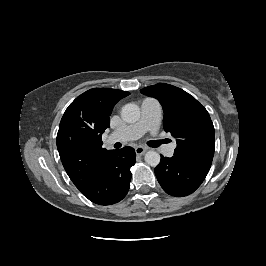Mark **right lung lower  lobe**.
I'll return each instance as SVG.
<instances>
[{"label":"right lung lower lobe","mask_w":266,"mask_h":266,"mask_svg":"<svg viewBox=\"0 0 266 266\" xmlns=\"http://www.w3.org/2000/svg\"><path fill=\"white\" fill-rule=\"evenodd\" d=\"M133 148L113 150L105 160L92 185L81 192L90 201L99 205H111L122 200L130 187V167L135 164Z\"/></svg>","instance_id":"obj_1"}]
</instances>
